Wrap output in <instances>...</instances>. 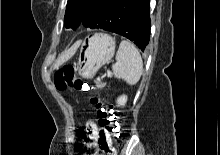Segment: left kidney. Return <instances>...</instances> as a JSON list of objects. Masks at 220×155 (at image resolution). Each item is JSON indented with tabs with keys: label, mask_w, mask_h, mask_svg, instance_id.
Returning <instances> with one entry per match:
<instances>
[{
	"label": "left kidney",
	"mask_w": 220,
	"mask_h": 155,
	"mask_svg": "<svg viewBox=\"0 0 220 155\" xmlns=\"http://www.w3.org/2000/svg\"><path fill=\"white\" fill-rule=\"evenodd\" d=\"M127 102V96L126 95H122L117 99V104L118 106H124Z\"/></svg>",
	"instance_id": "5707ae66"
}]
</instances>
